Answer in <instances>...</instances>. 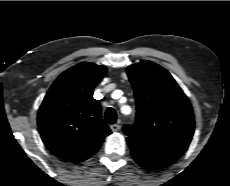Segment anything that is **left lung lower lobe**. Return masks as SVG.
<instances>
[{
  "mask_svg": "<svg viewBox=\"0 0 230 186\" xmlns=\"http://www.w3.org/2000/svg\"><path fill=\"white\" fill-rule=\"evenodd\" d=\"M134 160L147 170L160 169L171 165L174 161L144 156L134 151H131Z\"/></svg>",
  "mask_w": 230,
  "mask_h": 186,
  "instance_id": "left-lung-lower-lobe-1",
  "label": "left lung lower lobe"
}]
</instances>
